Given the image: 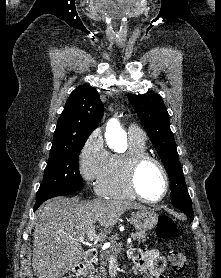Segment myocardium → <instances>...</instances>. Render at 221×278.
I'll return each instance as SVG.
<instances>
[{
  "instance_id": "1",
  "label": "myocardium",
  "mask_w": 221,
  "mask_h": 278,
  "mask_svg": "<svg viewBox=\"0 0 221 278\" xmlns=\"http://www.w3.org/2000/svg\"><path fill=\"white\" fill-rule=\"evenodd\" d=\"M154 163L161 171L164 182H165V188L162 193V195L157 199H149L145 197L142 192L140 191L137 183L138 173L141 167L148 163ZM124 176H125V182L127 187L129 188L131 194L138 198L141 201H144L146 203H158L161 202L168 194L169 187H170V180L168 172L163 165V163L156 157H154L151 154L148 153H137L132 154L124 159Z\"/></svg>"
}]
</instances>
